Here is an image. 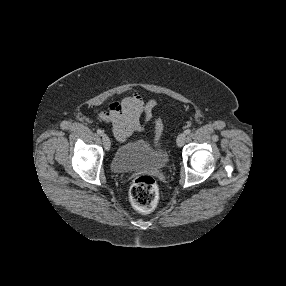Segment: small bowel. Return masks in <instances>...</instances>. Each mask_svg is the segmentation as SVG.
Wrapping results in <instances>:
<instances>
[{
  "instance_id": "small-bowel-1",
  "label": "small bowel",
  "mask_w": 286,
  "mask_h": 286,
  "mask_svg": "<svg viewBox=\"0 0 286 286\" xmlns=\"http://www.w3.org/2000/svg\"><path fill=\"white\" fill-rule=\"evenodd\" d=\"M156 105L154 99L144 100L138 93L126 96L109 105L100 118L111 125L114 136L121 142L141 132Z\"/></svg>"
}]
</instances>
